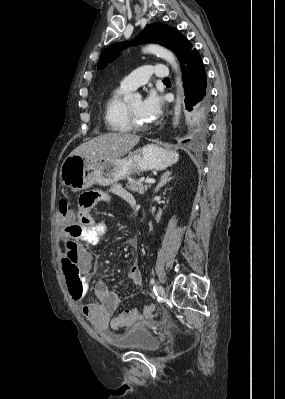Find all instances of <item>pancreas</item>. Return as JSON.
Returning a JSON list of instances; mask_svg holds the SVG:
<instances>
[{"label":"pancreas","instance_id":"1","mask_svg":"<svg viewBox=\"0 0 285 399\" xmlns=\"http://www.w3.org/2000/svg\"><path fill=\"white\" fill-rule=\"evenodd\" d=\"M126 188L128 190H131L132 192L144 194L148 190V188H150V186L146 185V184L144 185L139 180H134V179L128 178V184L126 185Z\"/></svg>","mask_w":285,"mask_h":399}]
</instances>
